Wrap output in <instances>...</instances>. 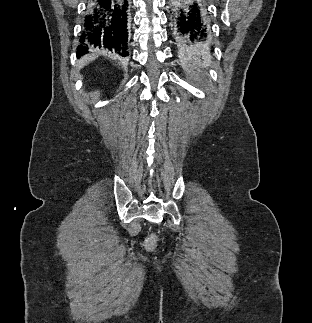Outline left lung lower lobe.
Masks as SVG:
<instances>
[{"label":"left lung lower lobe","mask_w":312,"mask_h":323,"mask_svg":"<svg viewBox=\"0 0 312 323\" xmlns=\"http://www.w3.org/2000/svg\"><path fill=\"white\" fill-rule=\"evenodd\" d=\"M207 0H173L170 14L173 40L182 55H207L211 50V25Z\"/></svg>","instance_id":"left-lung-lower-lobe-1"}]
</instances>
